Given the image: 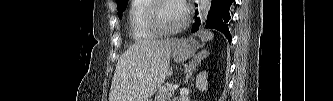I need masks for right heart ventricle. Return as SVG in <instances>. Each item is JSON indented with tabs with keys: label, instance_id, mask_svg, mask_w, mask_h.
<instances>
[{
	"label": "right heart ventricle",
	"instance_id": "1",
	"mask_svg": "<svg viewBox=\"0 0 333 101\" xmlns=\"http://www.w3.org/2000/svg\"><path fill=\"white\" fill-rule=\"evenodd\" d=\"M151 3V0H134L132 3L129 12V32L134 41L144 42L157 37L145 22V15Z\"/></svg>",
	"mask_w": 333,
	"mask_h": 101
}]
</instances>
